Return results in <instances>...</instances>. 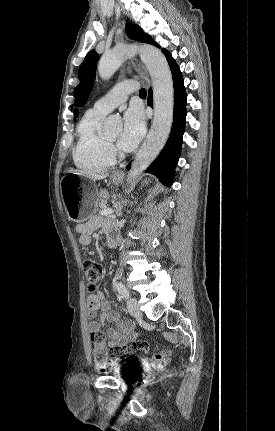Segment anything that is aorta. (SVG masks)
<instances>
[{
    "label": "aorta",
    "instance_id": "obj_1",
    "mask_svg": "<svg viewBox=\"0 0 275 431\" xmlns=\"http://www.w3.org/2000/svg\"><path fill=\"white\" fill-rule=\"evenodd\" d=\"M139 54L152 80L154 117L149 134L134 159L128 178H136L154 161L164 147L173 123L174 88L172 74L165 56L157 48L142 46H119L102 56L98 73L108 80L129 57ZM121 125L120 119L110 116L104 123L106 131Z\"/></svg>",
    "mask_w": 275,
    "mask_h": 431
}]
</instances>
